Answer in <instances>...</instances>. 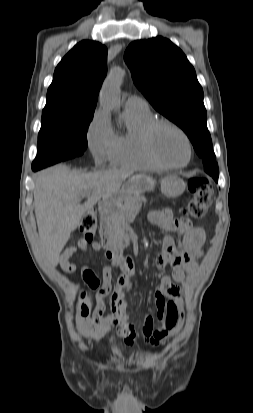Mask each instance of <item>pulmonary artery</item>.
<instances>
[{"label":"pulmonary artery","instance_id":"obj_1","mask_svg":"<svg viewBox=\"0 0 253 413\" xmlns=\"http://www.w3.org/2000/svg\"><path fill=\"white\" fill-rule=\"evenodd\" d=\"M125 108L130 109H148L147 102L138 97V96H130L125 102Z\"/></svg>","mask_w":253,"mask_h":413}]
</instances>
